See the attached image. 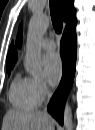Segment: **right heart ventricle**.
<instances>
[{
    "label": "right heart ventricle",
    "mask_w": 95,
    "mask_h": 130,
    "mask_svg": "<svg viewBox=\"0 0 95 130\" xmlns=\"http://www.w3.org/2000/svg\"><path fill=\"white\" fill-rule=\"evenodd\" d=\"M11 103L22 109L34 108L39 100L34 92L30 78L15 77L10 87Z\"/></svg>",
    "instance_id": "obj_1"
}]
</instances>
